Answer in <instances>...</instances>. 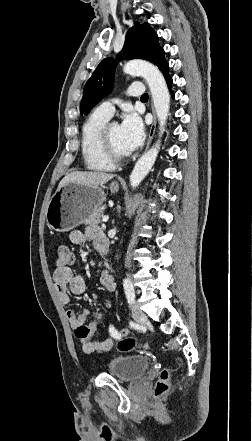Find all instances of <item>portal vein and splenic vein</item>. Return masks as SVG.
<instances>
[{
  "label": "portal vein and splenic vein",
  "instance_id": "1",
  "mask_svg": "<svg viewBox=\"0 0 252 441\" xmlns=\"http://www.w3.org/2000/svg\"><path fill=\"white\" fill-rule=\"evenodd\" d=\"M108 220H109V217H108V216H103V217H102V221H103V222H107Z\"/></svg>",
  "mask_w": 252,
  "mask_h": 441
}]
</instances>
